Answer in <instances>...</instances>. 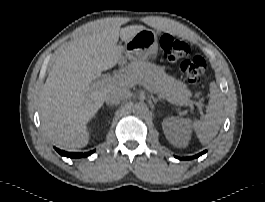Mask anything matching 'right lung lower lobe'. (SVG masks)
I'll use <instances>...</instances> for the list:
<instances>
[{"mask_svg": "<svg viewBox=\"0 0 265 202\" xmlns=\"http://www.w3.org/2000/svg\"><path fill=\"white\" fill-rule=\"evenodd\" d=\"M56 151L61 154L62 156H67L69 158H80V157H87L89 155H91L93 151L90 152H85V153H72V152H65L63 150H59L58 148H56Z\"/></svg>", "mask_w": 265, "mask_h": 202, "instance_id": "right-lung-lower-lobe-1", "label": "right lung lower lobe"}]
</instances>
